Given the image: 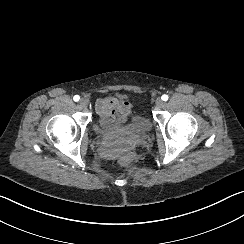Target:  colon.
<instances>
[{"instance_id": "obj_1", "label": "colon", "mask_w": 244, "mask_h": 244, "mask_svg": "<svg viewBox=\"0 0 244 244\" xmlns=\"http://www.w3.org/2000/svg\"><path fill=\"white\" fill-rule=\"evenodd\" d=\"M117 163L120 166H128L131 163V158L128 155H120L117 158Z\"/></svg>"}]
</instances>
